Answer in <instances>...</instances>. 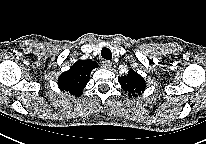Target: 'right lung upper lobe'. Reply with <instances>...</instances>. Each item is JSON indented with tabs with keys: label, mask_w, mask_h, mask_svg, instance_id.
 Masks as SVG:
<instances>
[{
	"label": "right lung upper lobe",
	"mask_w": 206,
	"mask_h": 144,
	"mask_svg": "<svg viewBox=\"0 0 206 144\" xmlns=\"http://www.w3.org/2000/svg\"><path fill=\"white\" fill-rule=\"evenodd\" d=\"M98 64L92 60H79L70 68L69 71L61 74L58 79V86L62 91L79 97L83 88L90 79V73Z\"/></svg>",
	"instance_id": "obj_1"
}]
</instances>
